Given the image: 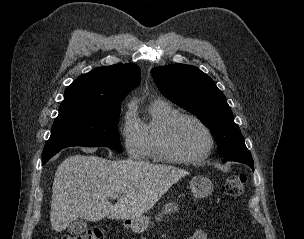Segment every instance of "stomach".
Wrapping results in <instances>:
<instances>
[{"label":"stomach","instance_id":"1","mask_svg":"<svg viewBox=\"0 0 304 239\" xmlns=\"http://www.w3.org/2000/svg\"><path fill=\"white\" fill-rule=\"evenodd\" d=\"M189 187L192 194L197 198L206 197L211 194L213 191V183L212 181L204 176H195L189 182ZM178 209L177 204L173 202H169L165 205L162 214H170L175 212ZM130 223L127 224L131 230L135 233L144 232L149 225V218L145 216H140L138 218L130 219Z\"/></svg>","mask_w":304,"mask_h":239}]
</instances>
